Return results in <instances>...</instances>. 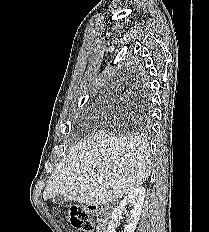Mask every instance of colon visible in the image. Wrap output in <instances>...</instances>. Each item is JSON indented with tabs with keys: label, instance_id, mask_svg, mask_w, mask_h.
I'll return each instance as SVG.
<instances>
[{
	"label": "colon",
	"instance_id": "1",
	"mask_svg": "<svg viewBox=\"0 0 209 232\" xmlns=\"http://www.w3.org/2000/svg\"><path fill=\"white\" fill-rule=\"evenodd\" d=\"M100 216V210L95 207H73L69 212L71 225L82 232H91L93 219Z\"/></svg>",
	"mask_w": 209,
	"mask_h": 232
}]
</instances>
